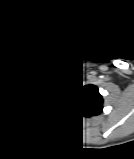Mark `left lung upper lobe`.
<instances>
[{
  "instance_id": "1",
  "label": "left lung upper lobe",
  "mask_w": 134,
  "mask_h": 159,
  "mask_svg": "<svg viewBox=\"0 0 134 159\" xmlns=\"http://www.w3.org/2000/svg\"><path fill=\"white\" fill-rule=\"evenodd\" d=\"M71 94L81 116L90 117L101 113L103 99L95 85L75 86Z\"/></svg>"
}]
</instances>
